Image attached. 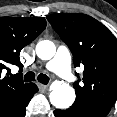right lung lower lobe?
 Masks as SVG:
<instances>
[{
    "label": "right lung lower lobe",
    "mask_w": 117,
    "mask_h": 117,
    "mask_svg": "<svg viewBox=\"0 0 117 117\" xmlns=\"http://www.w3.org/2000/svg\"><path fill=\"white\" fill-rule=\"evenodd\" d=\"M37 91V86L34 83H31L24 95L13 106L1 113L0 117H25L26 106Z\"/></svg>",
    "instance_id": "1"
}]
</instances>
